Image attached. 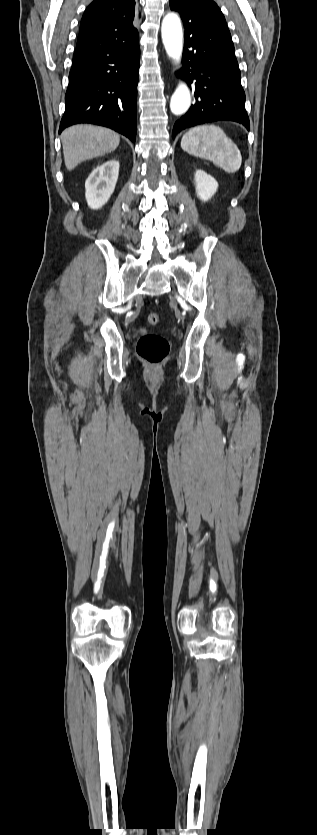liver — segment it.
I'll return each mask as SVG.
<instances>
[{
    "mask_svg": "<svg viewBox=\"0 0 317 835\" xmlns=\"http://www.w3.org/2000/svg\"><path fill=\"white\" fill-rule=\"evenodd\" d=\"M64 162L71 171L81 162L114 151L120 136L113 130L100 126L75 125L61 134Z\"/></svg>",
    "mask_w": 317,
    "mask_h": 835,
    "instance_id": "1",
    "label": "liver"
}]
</instances>
